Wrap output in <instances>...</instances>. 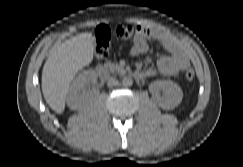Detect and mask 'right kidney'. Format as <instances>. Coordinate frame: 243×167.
Masks as SVG:
<instances>
[{
    "label": "right kidney",
    "mask_w": 243,
    "mask_h": 167,
    "mask_svg": "<svg viewBox=\"0 0 243 167\" xmlns=\"http://www.w3.org/2000/svg\"><path fill=\"white\" fill-rule=\"evenodd\" d=\"M96 80L97 75L93 70L84 71L77 76L66 97L67 105L71 110H80L89 102L91 94L87 89Z\"/></svg>",
    "instance_id": "obj_1"
}]
</instances>
